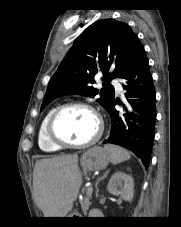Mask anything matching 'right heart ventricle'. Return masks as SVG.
Instances as JSON below:
<instances>
[{"label": "right heart ventricle", "instance_id": "right-heart-ventricle-1", "mask_svg": "<svg viewBox=\"0 0 181 227\" xmlns=\"http://www.w3.org/2000/svg\"><path fill=\"white\" fill-rule=\"evenodd\" d=\"M53 111H54V108L50 109L45 114V116L41 121L39 132H38V145L42 151L48 152V153L58 152L61 149V147L55 145L53 142L50 141L46 132L48 120Z\"/></svg>", "mask_w": 181, "mask_h": 227}]
</instances>
